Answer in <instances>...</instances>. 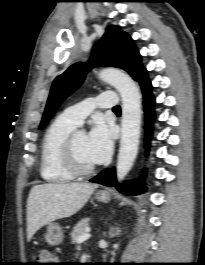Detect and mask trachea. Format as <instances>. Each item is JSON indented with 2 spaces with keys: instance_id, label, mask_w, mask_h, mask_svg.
<instances>
[{
  "instance_id": "3493384b",
  "label": "trachea",
  "mask_w": 205,
  "mask_h": 265,
  "mask_svg": "<svg viewBox=\"0 0 205 265\" xmlns=\"http://www.w3.org/2000/svg\"><path fill=\"white\" fill-rule=\"evenodd\" d=\"M114 110H120V106L114 107Z\"/></svg>"
}]
</instances>
